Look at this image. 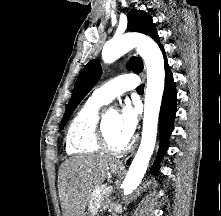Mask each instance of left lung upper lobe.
Returning <instances> with one entry per match:
<instances>
[{"instance_id":"1","label":"left lung upper lobe","mask_w":221,"mask_h":216,"mask_svg":"<svg viewBox=\"0 0 221 216\" xmlns=\"http://www.w3.org/2000/svg\"><path fill=\"white\" fill-rule=\"evenodd\" d=\"M128 29L132 32H140L152 37L156 42H159V37L152 22L151 16L142 10H131L128 15ZM127 69L139 73L143 70L141 59L132 57L127 63ZM101 66L97 59L90 61L81 71L76 80L72 97L67 105L65 114L61 121L59 131L63 129L65 123L69 119L71 113L75 110L78 104L83 100L87 93L93 88L101 76Z\"/></svg>"}]
</instances>
